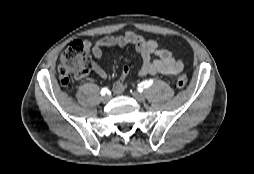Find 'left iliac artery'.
I'll return each instance as SVG.
<instances>
[{
  "instance_id": "1",
  "label": "left iliac artery",
  "mask_w": 254,
  "mask_h": 174,
  "mask_svg": "<svg viewBox=\"0 0 254 174\" xmlns=\"http://www.w3.org/2000/svg\"><path fill=\"white\" fill-rule=\"evenodd\" d=\"M152 84H153V80L150 79V80L143 81V82L140 83L138 86H139V87H143V88H148V87H150Z\"/></svg>"
}]
</instances>
